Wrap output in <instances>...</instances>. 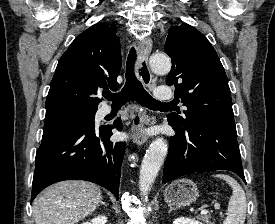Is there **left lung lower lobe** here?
Wrapping results in <instances>:
<instances>
[{"label":"left lung lower lobe","instance_id":"0a47b994","mask_svg":"<svg viewBox=\"0 0 275 224\" xmlns=\"http://www.w3.org/2000/svg\"><path fill=\"white\" fill-rule=\"evenodd\" d=\"M169 122L176 134L170 137L163 181L183 175L212 170H229L245 182L236 128L197 122L182 128Z\"/></svg>","mask_w":275,"mask_h":224}]
</instances>
